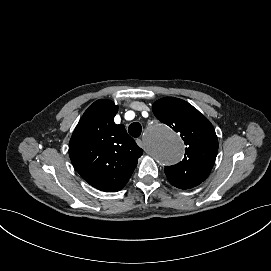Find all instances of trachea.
<instances>
[{"mask_svg": "<svg viewBox=\"0 0 271 271\" xmlns=\"http://www.w3.org/2000/svg\"><path fill=\"white\" fill-rule=\"evenodd\" d=\"M142 132V127L141 124L138 122H133L132 124H130V126L128 127V133L132 136V137H139L141 135Z\"/></svg>", "mask_w": 271, "mask_h": 271, "instance_id": "obj_1", "label": "trachea"}]
</instances>
